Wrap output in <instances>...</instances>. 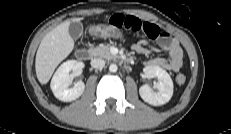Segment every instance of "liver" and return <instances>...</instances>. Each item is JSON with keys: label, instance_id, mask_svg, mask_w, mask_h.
<instances>
[{"label": "liver", "instance_id": "obj_1", "mask_svg": "<svg viewBox=\"0 0 231 134\" xmlns=\"http://www.w3.org/2000/svg\"><path fill=\"white\" fill-rule=\"evenodd\" d=\"M81 18L64 21L48 32L39 45L35 59L36 75L41 84H46L56 67L73 50L74 40L69 34L72 22H79Z\"/></svg>", "mask_w": 231, "mask_h": 134}]
</instances>
